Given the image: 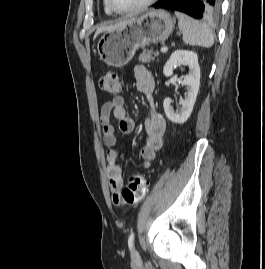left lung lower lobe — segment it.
Instances as JSON below:
<instances>
[{
	"label": "left lung lower lobe",
	"mask_w": 265,
	"mask_h": 269,
	"mask_svg": "<svg viewBox=\"0 0 265 269\" xmlns=\"http://www.w3.org/2000/svg\"><path fill=\"white\" fill-rule=\"evenodd\" d=\"M221 0H162L156 8L177 10L196 19L214 20L220 12Z\"/></svg>",
	"instance_id": "0a47b994"
}]
</instances>
